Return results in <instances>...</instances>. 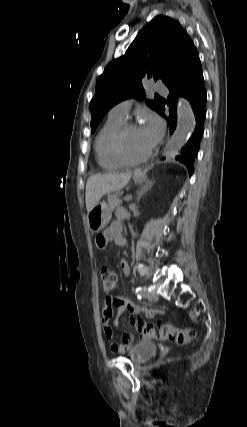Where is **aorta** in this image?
I'll list each match as a JSON object with an SVG mask.
<instances>
[{
    "instance_id": "obj_1",
    "label": "aorta",
    "mask_w": 247,
    "mask_h": 427,
    "mask_svg": "<svg viewBox=\"0 0 247 427\" xmlns=\"http://www.w3.org/2000/svg\"><path fill=\"white\" fill-rule=\"evenodd\" d=\"M177 117L176 130L162 151L163 157L171 156L181 150L196 126L192 107L184 98H180L178 101Z\"/></svg>"
}]
</instances>
